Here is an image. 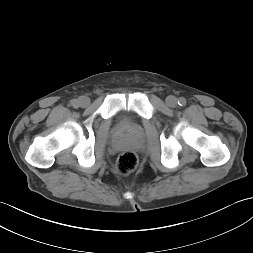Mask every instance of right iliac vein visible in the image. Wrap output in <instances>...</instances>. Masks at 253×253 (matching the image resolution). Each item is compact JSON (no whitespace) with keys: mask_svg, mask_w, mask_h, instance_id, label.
Returning <instances> with one entry per match:
<instances>
[{"mask_svg":"<svg viewBox=\"0 0 253 253\" xmlns=\"http://www.w3.org/2000/svg\"><path fill=\"white\" fill-rule=\"evenodd\" d=\"M78 103L81 107H87L90 104V99L86 96L79 98Z\"/></svg>","mask_w":253,"mask_h":253,"instance_id":"obj_1","label":"right iliac vein"}]
</instances>
